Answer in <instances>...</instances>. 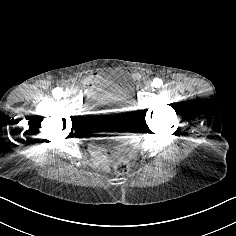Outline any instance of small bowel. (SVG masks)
I'll use <instances>...</instances> for the list:
<instances>
[{"label": "small bowel", "instance_id": "c3829d8e", "mask_svg": "<svg viewBox=\"0 0 236 236\" xmlns=\"http://www.w3.org/2000/svg\"><path fill=\"white\" fill-rule=\"evenodd\" d=\"M102 78V75L100 72H93L91 73L86 79H85V85L86 86H93L97 81H99Z\"/></svg>", "mask_w": 236, "mask_h": 236}]
</instances>
